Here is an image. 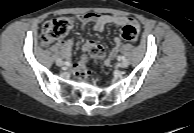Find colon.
<instances>
[{
	"instance_id": "5ec220e1",
	"label": "colon",
	"mask_w": 194,
	"mask_h": 133,
	"mask_svg": "<svg viewBox=\"0 0 194 133\" xmlns=\"http://www.w3.org/2000/svg\"><path fill=\"white\" fill-rule=\"evenodd\" d=\"M71 27V20L67 17H58L46 21L42 26V46H47L50 42L57 40L67 34ZM121 35L124 40L136 43L138 39V32L133 26H125L122 29ZM90 56L94 60H98L104 55V48L94 43L90 49ZM74 74L80 79H84L89 75V70L86 66V60L81 59L74 66Z\"/></svg>"
}]
</instances>
